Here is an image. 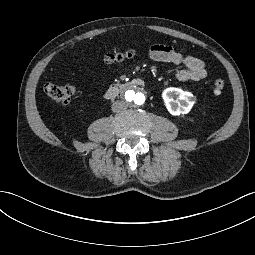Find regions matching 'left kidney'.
<instances>
[{
	"label": "left kidney",
	"mask_w": 255,
	"mask_h": 255,
	"mask_svg": "<svg viewBox=\"0 0 255 255\" xmlns=\"http://www.w3.org/2000/svg\"><path fill=\"white\" fill-rule=\"evenodd\" d=\"M175 97L178 100H181V102H178L177 100L175 101ZM162 99L167 111L173 116L188 114L196 102V97L193 93L176 87H168L164 89L162 92Z\"/></svg>",
	"instance_id": "1"
}]
</instances>
